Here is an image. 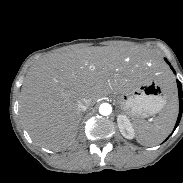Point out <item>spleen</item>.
Listing matches in <instances>:
<instances>
[{
	"mask_svg": "<svg viewBox=\"0 0 183 183\" xmlns=\"http://www.w3.org/2000/svg\"><path fill=\"white\" fill-rule=\"evenodd\" d=\"M178 114V103L171 99L160 114L148 123L144 120L135 122L137 141L144 146L161 143L172 131Z\"/></svg>",
	"mask_w": 183,
	"mask_h": 183,
	"instance_id": "spleen-1",
	"label": "spleen"
}]
</instances>
